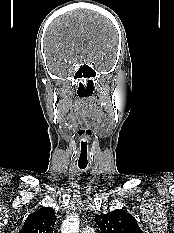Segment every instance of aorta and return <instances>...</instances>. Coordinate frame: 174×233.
Listing matches in <instances>:
<instances>
[{
	"label": "aorta",
	"instance_id": "aorta-1",
	"mask_svg": "<svg viewBox=\"0 0 174 233\" xmlns=\"http://www.w3.org/2000/svg\"><path fill=\"white\" fill-rule=\"evenodd\" d=\"M61 233H79V218L77 214H71L63 221Z\"/></svg>",
	"mask_w": 174,
	"mask_h": 233
}]
</instances>
